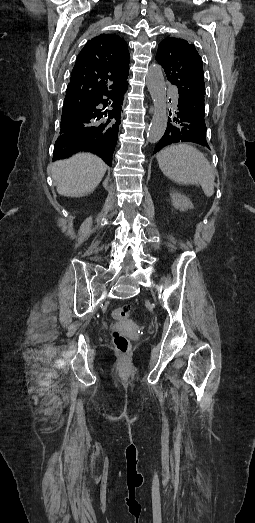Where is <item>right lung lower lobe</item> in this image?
<instances>
[{
  "instance_id": "1",
  "label": "right lung lower lobe",
  "mask_w": 255,
  "mask_h": 523,
  "mask_svg": "<svg viewBox=\"0 0 255 523\" xmlns=\"http://www.w3.org/2000/svg\"><path fill=\"white\" fill-rule=\"evenodd\" d=\"M79 116L83 119V141L86 144L97 142L100 139V103L92 101L79 106Z\"/></svg>"
}]
</instances>
